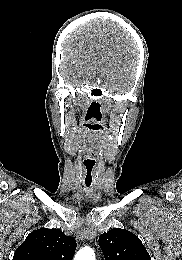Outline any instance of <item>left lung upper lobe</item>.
<instances>
[{"label": "left lung upper lobe", "instance_id": "1", "mask_svg": "<svg viewBox=\"0 0 182 260\" xmlns=\"http://www.w3.org/2000/svg\"><path fill=\"white\" fill-rule=\"evenodd\" d=\"M105 260H151L141 240L125 229L114 228L99 237Z\"/></svg>", "mask_w": 182, "mask_h": 260}]
</instances>
